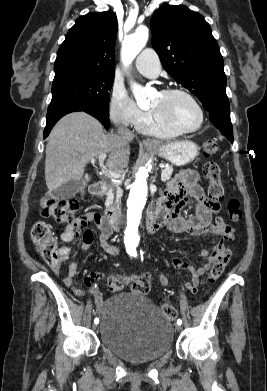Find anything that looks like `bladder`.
<instances>
[{
    "label": "bladder",
    "instance_id": "bladder-1",
    "mask_svg": "<svg viewBox=\"0 0 267 391\" xmlns=\"http://www.w3.org/2000/svg\"><path fill=\"white\" fill-rule=\"evenodd\" d=\"M98 330L106 349L133 363L159 359L173 347V326L142 294L120 292L99 308Z\"/></svg>",
    "mask_w": 267,
    "mask_h": 391
}]
</instances>
